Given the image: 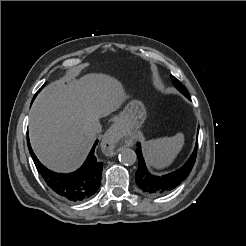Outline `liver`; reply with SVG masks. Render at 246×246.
<instances>
[{"label":"liver","mask_w":246,"mask_h":246,"mask_svg":"<svg viewBox=\"0 0 246 246\" xmlns=\"http://www.w3.org/2000/svg\"><path fill=\"white\" fill-rule=\"evenodd\" d=\"M125 99L121 83L103 74L66 77L46 86L29 116L30 141L39 160L57 172L77 169L95 140L90 122L118 110Z\"/></svg>","instance_id":"6515ba94"}]
</instances>
